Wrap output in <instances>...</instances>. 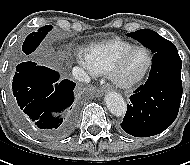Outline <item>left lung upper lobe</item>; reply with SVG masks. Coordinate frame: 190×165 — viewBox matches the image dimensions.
<instances>
[{
    "label": "left lung upper lobe",
    "instance_id": "obj_1",
    "mask_svg": "<svg viewBox=\"0 0 190 165\" xmlns=\"http://www.w3.org/2000/svg\"><path fill=\"white\" fill-rule=\"evenodd\" d=\"M127 36L138 40L145 47L149 48L152 53H156L163 48L173 45V43L169 40H166L156 32L147 29H141L133 33H128Z\"/></svg>",
    "mask_w": 190,
    "mask_h": 165
}]
</instances>
